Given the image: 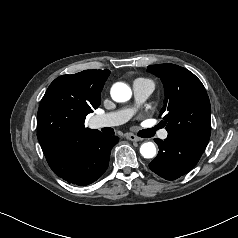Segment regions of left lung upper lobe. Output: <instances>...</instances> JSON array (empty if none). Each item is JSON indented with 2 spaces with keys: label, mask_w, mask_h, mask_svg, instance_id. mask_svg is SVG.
Masks as SVG:
<instances>
[{
  "label": "left lung upper lobe",
  "mask_w": 238,
  "mask_h": 238,
  "mask_svg": "<svg viewBox=\"0 0 238 238\" xmlns=\"http://www.w3.org/2000/svg\"><path fill=\"white\" fill-rule=\"evenodd\" d=\"M164 85L161 121L169 134L208 144L211 134V106L201 81L189 70L175 64L148 66Z\"/></svg>",
  "instance_id": "left-lung-upper-lobe-1"
}]
</instances>
